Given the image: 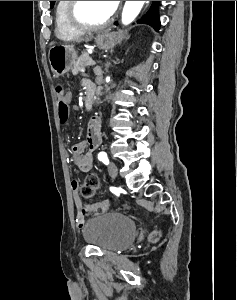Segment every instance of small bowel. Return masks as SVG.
I'll return each instance as SVG.
<instances>
[{
	"label": "small bowel",
	"mask_w": 237,
	"mask_h": 300,
	"mask_svg": "<svg viewBox=\"0 0 237 300\" xmlns=\"http://www.w3.org/2000/svg\"><path fill=\"white\" fill-rule=\"evenodd\" d=\"M85 90H93V84L89 81L84 82ZM68 103L72 100V93L66 92L65 95ZM101 124L102 120L100 116L93 117L88 126L86 132V138L82 141L75 143L71 147L72 162L81 171H89L92 168V153L100 146L101 138ZM79 182L73 180L71 182V188L74 192L75 203H76V222L79 228H82L85 222V218L90 213L105 210L109 206V202L104 200L95 204L86 205L83 204L82 200L78 196Z\"/></svg>",
	"instance_id": "small-bowel-1"
}]
</instances>
